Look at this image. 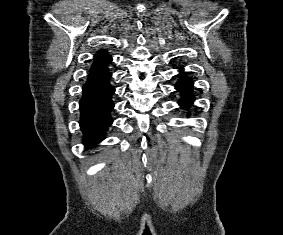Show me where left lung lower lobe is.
Masks as SVG:
<instances>
[{"label": "left lung lower lobe", "mask_w": 283, "mask_h": 235, "mask_svg": "<svg viewBox=\"0 0 283 235\" xmlns=\"http://www.w3.org/2000/svg\"><path fill=\"white\" fill-rule=\"evenodd\" d=\"M181 77L176 85V89L181 92L182 98L179 101V104L185 108L189 107L193 101L194 96L192 95L191 88L193 85V82L190 78L186 76L185 73L179 74Z\"/></svg>", "instance_id": "1"}]
</instances>
